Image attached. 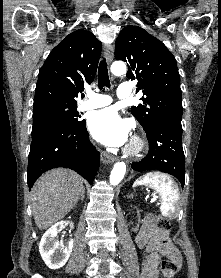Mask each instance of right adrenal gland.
Returning a JSON list of instances; mask_svg holds the SVG:
<instances>
[{
    "mask_svg": "<svg viewBox=\"0 0 221 278\" xmlns=\"http://www.w3.org/2000/svg\"><path fill=\"white\" fill-rule=\"evenodd\" d=\"M84 197H85V190H83V193H82V195H81L79 200L83 201Z\"/></svg>",
    "mask_w": 221,
    "mask_h": 278,
    "instance_id": "1",
    "label": "right adrenal gland"
}]
</instances>
